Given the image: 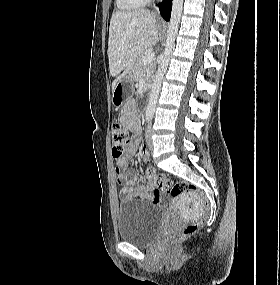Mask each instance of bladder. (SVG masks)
I'll use <instances>...</instances> for the list:
<instances>
[{"label":"bladder","mask_w":280,"mask_h":285,"mask_svg":"<svg viewBox=\"0 0 280 285\" xmlns=\"http://www.w3.org/2000/svg\"><path fill=\"white\" fill-rule=\"evenodd\" d=\"M162 219V209L154 204L141 200L124 201L118 208V236L135 244H149L157 236Z\"/></svg>","instance_id":"bladder-1"}]
</instances>
